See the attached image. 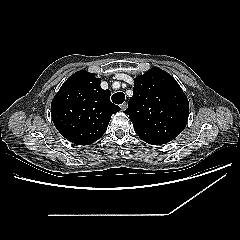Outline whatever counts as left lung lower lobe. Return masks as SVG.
<instances>
[{
    "label": "left lung lower lobe",
    "mask_w": 240,
    "mask_h": 240,
    "mask_svg": "<svg viewBox=\"0 0 240 240\" xmlns=\"http://www.w3.org/2000/svg\"><path fill=\"white\" fill-rule=\"evenodd\" d=\"M168 142L169 141H167V140L155 139V140L151 141L150 144H152V145H161V144H166Z\"/></svg>",
    "instance_id": "0a47b994"
}]
</instances>
